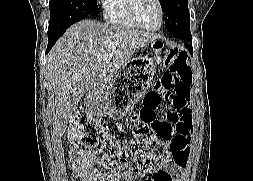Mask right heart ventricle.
I'll return each instance as SVG.
<instances>
[{
    "mask_svg": "<svg viewBox=\"0 0 253 181\" xmlns=\"http://www.w3.org/2000/svg\"><path fill=\"white\" fill-rule=\"evenodd\" d=\"M129 0H102L103 18L113 26L136 29L128 11Z\"/></svg>",
    "mask_w": 253,
    "mask_h": 181,
    "instance_id": "e07e8e85",
    "label": "right heart ventricle"
}]
</instances>
